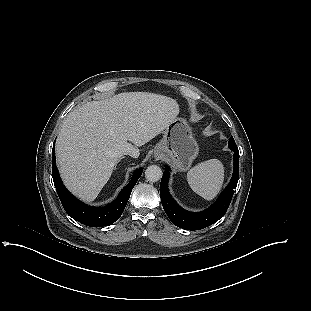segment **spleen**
<instances>
[{
	"instance_id": "1",
	"label": "spleen",
	"mask_w": 311,
	"mask_h": 311,
	"mask_svg": "<svg viewBox=\"0 0 311 311\" xmlns=\"http://www.w3.org/2000/svg\"><path fill=\"white\" fill-rule=\"evenodd\" d=\"M191 189L206 200H212L221 190L224 167L218 159L198 163L187 173Z\"/></svg>"
}]
</instances>
